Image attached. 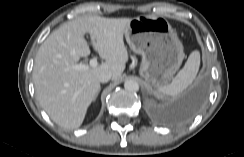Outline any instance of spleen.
I'll return each instance as SVG.
<instances>
[{
  "label": "spleen",
  "instance_id": "spleen-1",
  "mask_svg": "<svg viewBox=\"0 0 244 157\" xmlns=\"http://www.w3.org/2000/svg\"><path fill=\"white\" fill-rule=\"evenodd\" d=\"M200 66V53L193 51L184 67L178 72L170 84L161 86L158 91L164 95L177 96L182 93L195 79Z\"/></svg>",
  "mask_w": 244,
  "mask_h": 157
}]
</instances>
